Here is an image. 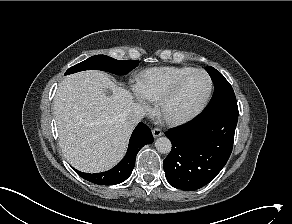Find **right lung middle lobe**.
<instances>
[{"label": "right lung middle lobe", "instance_id": "1", "mask_svg": "<svg viewBox=\"0 0 292 224\" xmlns=\"http://www.w3.org/2000/svg\"><path fill=\"white\" fill-rule=\"evenodd\" d=\"M137 60H116L106 55H95L69 68L65 75L83 70H103L117 75H124L137 67Z\"/></svg>", "mask_w": 292, "mask_h": 224}]
</instances>
